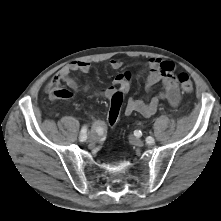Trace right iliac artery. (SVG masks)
I'll return each instance as SVG.
<instances>
[{
  "label": "right iliac artery",
  "instance_id": "right-iliac-artery-1",
  "mask_svg": "<svg viewBox=\"0 0 221 221\" xmlns=\"http://www.w3.org/2000/svg\"><path fill=\"white\" fill-rule=\"evenodd\" d=\"M79 139L81 142L86 141L87 139V127L86 126L82 128Z\"/></svg>",
  "mask_w": 221,
  "mask_h": 221
}]
</instances>
